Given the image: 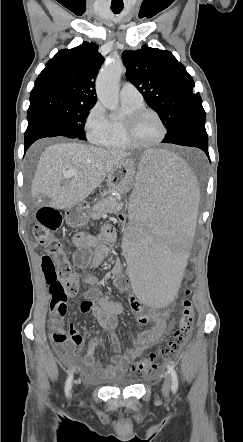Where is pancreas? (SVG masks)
I'll use <instances>...</instances> for the list:
<instances>
[{
    "instance_id": "pancreas-1",
    "label": "pancreas",
    "mask_w": 243,
    "mask_h": 442,
    "mask_svg": "<svg viewBox=\"0 0 243 442\" xmlns=\"http://www.w3.org/2000/svg\"><path fill=\"white\" fill-rule=\"evenodd\" d=\"M122 208L123 203L118 202L116 198L108 197L96 202L89 214L93 220H98L107 213H117Z\"/></svg>"
}]
</instances>
